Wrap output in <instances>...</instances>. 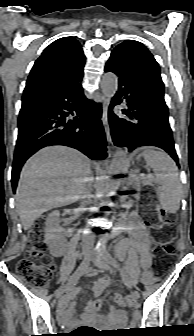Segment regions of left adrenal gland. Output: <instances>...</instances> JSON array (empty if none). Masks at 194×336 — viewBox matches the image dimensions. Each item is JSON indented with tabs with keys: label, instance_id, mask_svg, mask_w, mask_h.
<instances>
[{
	"label": "left adrenal gland",
	"instance_id": "1",
	"mask_svg": "<svg viewBox=\"0 0 194 336\" xmlns=\"http://www.w3.org/2000/svg\"><path fill=\"white\" fill-rule=\"evenodd\" d=\"M136 179H137L136 176L133 173H131L129 178V184H132L134 181L136 183Z\"/></svg>",
	"mask_w": 194,
	"mask_h": 336
}]
</instances>
